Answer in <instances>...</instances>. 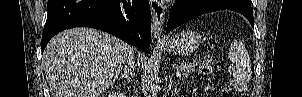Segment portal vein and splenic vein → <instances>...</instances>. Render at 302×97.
Wrapping results in <instances>:
<instances>
[{"instance_id": "obj_1", "label": "portal vein and splenic vein", "mask_w": 302, "mask_h": 97, "mask_svg": "<svg viewBox=\"0 0 302 97\" xmlns=\"http://www.w3.org/2000/svg\"><path fill=\"white\" fill-rule=\"evenodd\" d=\"M176 75H177V76H181V72L178 70V71L176 72Z\"/></svg>"}]
</instances>
